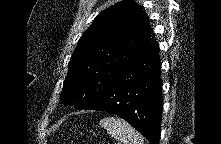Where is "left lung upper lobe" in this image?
Segmentation results:
<instances>
[{"mask_svg": "<svg viewBox=\"0 0 221 144\" xmlns=\"http://www.w3.org/2000/svg\"><path fill=\"white\" fill-rule=\"evenodd\" d=\"M151 27L138 4L124 0L102 11L79 39L60 95L87 110L116 76L151 42Z\"/></svg>", "mask_w": 221, "mask_h": 144, "instance_id": "1", "label": "left lung upper lobe"}]
</instances>
